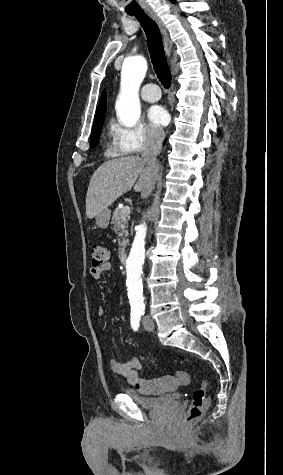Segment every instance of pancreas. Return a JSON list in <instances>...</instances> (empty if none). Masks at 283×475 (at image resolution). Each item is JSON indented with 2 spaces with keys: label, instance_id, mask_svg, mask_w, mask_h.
I'll return each instance as SVG.
<instances>
[{
  "label": "pancreas",
  "instance_id": "obj_1",
  "mask_svg": "<svg viewBox=\"0 0 283 475\" xmlns=\"http://www.w3.org/2000/svg\"><path fill=\"white\" fill-rule=\"evenodd\" d=\"M126 208L127 206H124V208H116L115 212H113L111 222V224H114V230L119 238V253H124L129 241V239H127V236H129L128 230H126L129 214L126 212Z\"/></svg>",
  "mask_w": 283,
  "mask_h": 475
}]
</instances>
